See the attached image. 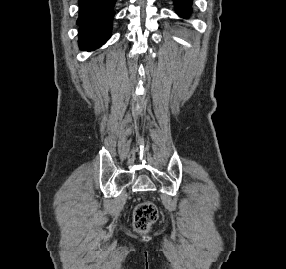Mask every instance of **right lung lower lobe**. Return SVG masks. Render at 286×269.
Returning a JSON list of instances; mask_svg holds the SVG:
<instances>
[{
	"mask_svg": "<svg viewBox=\"0 0 286 269\" xmlns=\"http://www.w3.org/2000/svg\"><path fill=\"white\" fill-rule=\"evenodd\" d=\"M116 0H79V46L93 50L110 38Z\"/></svg>",
	"mask_w": 286,
	"mask_h": 269,
	"instance_id": "98d812e1",
	"label": "right lung lower lobe"
}]
</instances>
